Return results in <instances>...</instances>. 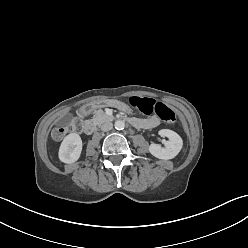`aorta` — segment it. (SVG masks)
Returning a JSON list of instances; mask_svg holds the SVG:
<instances>
[{"label":"aorta","mask_w":248,"mask_h":248,"mask_svg":"<svg viewBox=\"0 0 248 248\" xmlns=\"http://www.w3.org/2000/svg\"><path fill=\"white\" fill-rule=\"evenodd\" d=\"M124 127H125L124 121H122V120H117V121L115 122V129H117V130H123Z\"/></svg>","instance_id":"aorta-1"}]
</instances>
